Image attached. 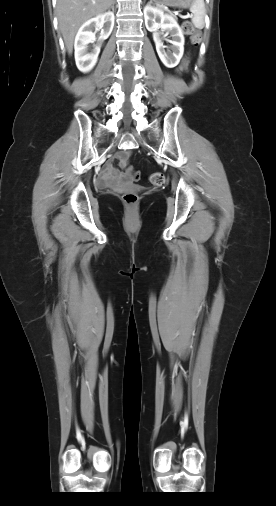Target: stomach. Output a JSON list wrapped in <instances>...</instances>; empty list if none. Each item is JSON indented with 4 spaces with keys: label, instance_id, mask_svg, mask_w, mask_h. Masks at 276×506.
I'll use <instances>...</instances> for the list:
<instances>
[{
    "label": "stomach",
    "instance_id": "0dacf381",
    "mask_svg": "<svg viewBox=\"0 0 276 506\" xmlns=\"http://www.w3.org/2000/svg\"><path fill=\"white\" fill-rule=\"evenodd\" d=\"M158 6H169L185 8L189 6L192 0H153Z\"/></svg>",
    "mask_w": 276,
    "mask_h": 506
}]
</instances>
